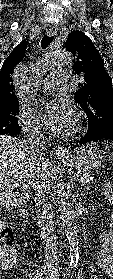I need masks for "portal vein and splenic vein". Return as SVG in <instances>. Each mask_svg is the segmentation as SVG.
Instances as JSON below:
<instances>
[{
	"mask_svg": "<svg viewBox=\"0 0 113 279\" xmlns=\"http://www.w3.org/2000/svg\"><path fill=\"white\" fill-rule=\"evenodd\" d=\"M16 186H22V187H25V188H28L29 186L24 184L23 181L19 180L18 182H16Z\"/></svg>",
	"mask_w": 113,
	"mask_h": 279,
	"instance_id": "1",
	"label": "portal vein and splenic vein"
}]
</instances>
